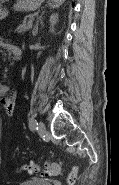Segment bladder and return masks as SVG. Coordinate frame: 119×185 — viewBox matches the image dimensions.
<instances>
[{
    "label": "bladder",
    "instance_id": "1",
    "mask_svg": "<svg viewBox=\"0 0 119 185\" xmlns=\"http://www.w3.org/2000/svg\"><path fill=\"white\" fill-rule=\"evenodd\" d=\"M18 185H52L49 181L42 179H27L20 182Z\"/></svg>",
    "mask_w": 119,
    "mask_h": 185
}]
</instances>
